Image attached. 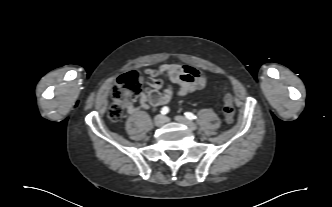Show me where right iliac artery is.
<instances>
[{
    "label": "right iliac artery",
    "mask_w": 332,
    "mask_h": 207,
    "mask_svg": "<svg viewBox=\"0 0 332 207\" xmlns=\"http://www.w3.org/2000/svg\"><path fill=\"white\" fill-rule=\"evenodd\" d=\"M167 113H169V108L165 106L161 109V114L166 115Z\"/></svg>",
    "instance_id": "82829eb1"
}]
</instances>
